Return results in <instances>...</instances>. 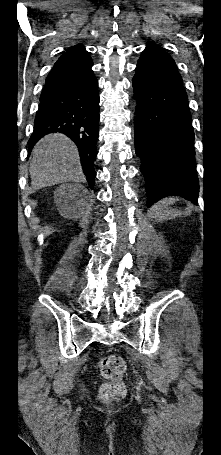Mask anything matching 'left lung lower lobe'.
Instances as JSON below:
<instances>
[{"label":"left lung lower lobe","mask_w":221,"mask_h":455,"mask_svg":"<svg viewBox=\"0 0 221 455\" xmlns=\"http://www.w3.org/2000/svg\"><path fill=\"white\" fill-rule=\"evenodd\" d=\"M135 70V152L141 159L147 206L172 195L197 203L194 131L182 82L159 70L138 65Z\"/></svg>","instance_id":"1"}]
</instances>
